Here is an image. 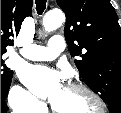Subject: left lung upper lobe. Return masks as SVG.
<instances>
[{
	"instance_id": "5c2ea615",
	"label": "left lung upper lobe",
	"mask_w": 121,
	"mask_h": 113,
	"mask_svg": "<svg viewBox=\"0 0 121 113\" xmlns=\"http://www.w3.org/2000/svg\"><path fill=\"white\" fill-rule=\"evenodd\" d=\"M66 14L65 38L80 76L121 113V27L109 0H57Z\"/></svg>"
}]
</instances>
